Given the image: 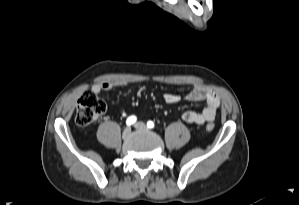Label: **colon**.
Returning <instances> with one entry per match:
<instances>
[{
  "mask_svg": "<svg viewBox=\"0 0 299 205\" xmlns=\"http://www.w3.org/2000/svg\"><path fill=\"white\" fill-rule=\"evenodd\" d=\"M106 111L105 102L91 91L85 92L79 99L76 111V123L79 126H88L97 121ZM214 124L206 125L208 132L213 131Z\"/></svg>",
  "mask_w": 299,
  "mask_h": 205,
  "instance_id": "colon-1",
  "label": "colon"
}]
</instances>
